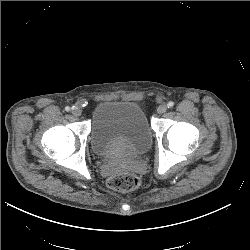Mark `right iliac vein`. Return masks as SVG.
Returning a JSON list of instances; mask_svg holds the SVG:
<instances>
[{
	"mask_svg": "<svg viewBox=\"0 0 250 250\" xmlns=\"http://www.w3.org/2000/svg\"><path fill=\"white\" fill-rule=\"evenodd\" d=\"M72 114H73L75 117H79V116H81L82 111H81V109H79V108H75V109L72 110Z\"/></svg>",
	"mask_w": 250,
	"mask_h": 250,
	"instance_id": "right-iliac-vein-1",
	"label": "right iliac vein"
}]
</instances>
